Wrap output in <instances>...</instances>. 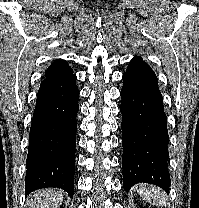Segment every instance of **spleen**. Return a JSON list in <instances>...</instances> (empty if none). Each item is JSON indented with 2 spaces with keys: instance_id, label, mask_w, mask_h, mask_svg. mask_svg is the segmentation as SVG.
<instances>
[{
  "instance_id": "obj_1",
  "label": "spleen",
  "mask_w": 199,
  "mask_h": 208,
  "mask_svg": "<svg viewBox=\"0 0 199 208\" xmlns=\"http://www.w3.org/2000/svg\"><path fill=\"white\" fill-rule=\"evenodd\" d=\"M137 192L150 204L159 206L165 204V194L158 187L141 185Z\"/></svg>"
}]
</instances>
